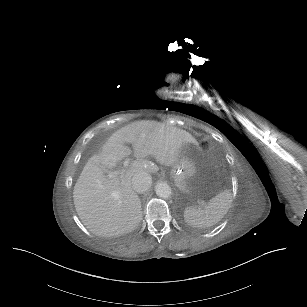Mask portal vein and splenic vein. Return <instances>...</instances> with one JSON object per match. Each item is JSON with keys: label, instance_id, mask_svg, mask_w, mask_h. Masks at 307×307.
<instances>
[{"label": "portal vein and splenic vein", "instance_id": "portal-vein-and-splenic-vein-1", "mask_svg": "<svg viewBox=\"0 0 307 307\" xmlns=\"http://www.w3.org/2000/svg\"><path fill=\"white\" fill-rule=\"evenodd\" d=\"M129 163H130V159L128 157H125L123 159V162L121 163V166L123 168H126L129 165ZM120 174H123V171H121V172L120 171H109L108 177H115V176L120 175Z\"/></svg>", "mask_w": 307, "mask_h": 307}]
</instances>
